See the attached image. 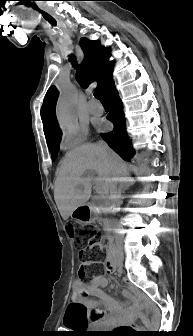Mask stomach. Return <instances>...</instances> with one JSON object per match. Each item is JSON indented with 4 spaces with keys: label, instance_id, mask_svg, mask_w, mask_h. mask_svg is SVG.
<instances>
[{
    "label": "stomach",
    "instance_id": "1",
    "mask_svg": "<svg viewBox=\"0 0 193 336\" xmlns=\"http://www.w3.org/2000/svg\"><path fill=\"white\" fill-rule=\"evenodd\" d=\"M71 217L81 224H90L94 221L93 210L87 205L77 207L71 213Z\"/></svg>",
    "mask_w": 193,
    "mask_h": 336
}]
</instances>
